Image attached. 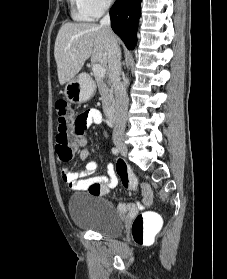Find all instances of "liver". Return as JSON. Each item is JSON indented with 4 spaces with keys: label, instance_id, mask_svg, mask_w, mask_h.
<instances>
[{
    "label": "liver",
    "instance_id": "6515ba94",
    "mask_svg": "<svg viewBox=\"0 0 227 279\" xmlns=\"http://www.w3.org/2000/svg\"><path fill=\"white\" fill-rule=\"evenodd\" d=\"M111 37L117 42L112 31L96 23L63 24L54 47L59 83L63 85L74 78L89 57L92 63L105 67Z\"/></svg>",
    "mask_w": 227,
    "mask_h": 279
}]
</instances>
